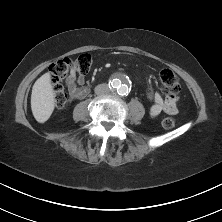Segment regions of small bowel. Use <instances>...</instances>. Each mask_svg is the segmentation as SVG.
<instances>
[{
    "instance_id": "1",
    "label": "small bowel",
    "mask_w": 222,
    "mask_h": 222,
    "mask_svg": "<svg viewBox=\"0 0 222 222\" xmlns=\"http://www.w3.org/2000/svg\"><path fill=\"white\" fill-rule=\"evenodd\" d=\"M65 83L72 100L81 99L87 96L88 89L85 86V77L83 75H78L72 70L66 78ZM148 98L152 102L150 116L152 118H157L163 112L169 115L177 114L178 110L176 105L181 103L183 96L181 92L174 90L170 92L168 96L169 100H164L160 93L151 90L148 92Z\"/></svg>"
}]
</instances>
